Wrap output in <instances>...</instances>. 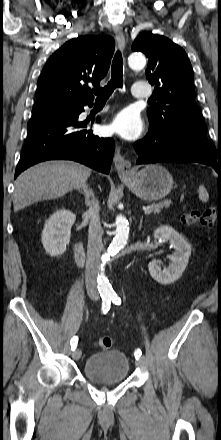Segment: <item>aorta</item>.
I'll return each instance as SVG.
<instances>
[{
	"label": "aorta",
	"instance_id": "obj_1",
	"mask_svg": "<svg viewBox=\"0 0 221 440\" xmlns=\"http://www.w3.org/2000/svg\"><path fill=\"white\" fill-rule=\"evenodd\" d=\"M128 64L132 69H142L146 65V58L141 53H132L128 58ZM115 225V236L107 250V253L102 256L103 264L101 265V273L98 275L99 288L105 292H110L112 287L104 274V264L108 261L111 255L115 254L127 244L129 236V224L124 216L118 215L116 217Z\"/></svg>",
	"mask_w": 221,
	"mask_h": 440
}]
</instances>
